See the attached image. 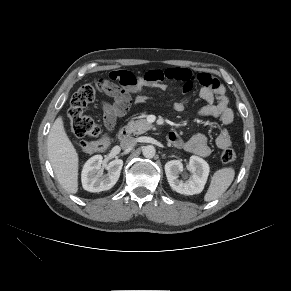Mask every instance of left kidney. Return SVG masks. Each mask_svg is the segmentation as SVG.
<instances>
[{
    "label": "left kidney",
    "instance_id": "left-kidney-1",
    "mask_svg": "<svg viewBox=\"0 0 291 291\" xmlns=\"http://www.w3.org/2000/svg\"><path fill=\"white\" fill-rule=\"evenodd\" d=\"M189 168L191 171V178L183 182L179 180V174L183 171V164L179 160H171L165 164V173L171 188L185 195L199 194L204 189L208 175V163L198 157L191 156L189 161Z\"/></svg>",
    "mask_w": 291,
    "mask_h": 291
}]
</instances>
